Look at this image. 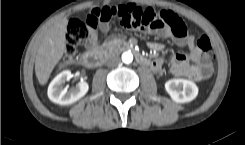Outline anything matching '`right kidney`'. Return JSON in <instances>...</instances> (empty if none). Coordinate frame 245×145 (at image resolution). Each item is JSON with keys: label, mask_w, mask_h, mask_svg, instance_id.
Listing matches in <instances>:
<instances>
[{"label": "right kidney", "mask_w": 245, "mask_h": 145, "mask_svg": "<svg viewBox=\"0 0 245 145\" xmlns=\"http://www.w3.org/2000/svg\"><path fill=\"white\" fill-rule=\"evenodd\" d=\"M71 77V72L65 70L51 81L47 94L52 102L60 105H69L76 102L87 93L88 84L84 81H80L75 87L70 89H68V87L63 88V84L69 81Z\"/></svg>", "instance_id": "ca27d5eb"}]
</instances>
